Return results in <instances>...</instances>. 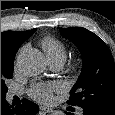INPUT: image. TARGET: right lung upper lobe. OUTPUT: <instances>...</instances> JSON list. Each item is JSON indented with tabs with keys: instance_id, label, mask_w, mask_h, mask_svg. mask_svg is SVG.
Masks as SVG:
<instances>
[{
	"instance_id": "cb5924a9",
	"label": "right lung upper lobe",
	"mask_w": 115,
	"mask_h": 115,
	"mask_svg": "<svg viewBox=\"0 0 115 115\" xmlns=\"http://www.w3.org/2000/svg\"><path fill=\"white\" fill-rule=\"evenodd\" d=\"M36 29L28 31H5L1 33V68H13L18 48Z\"/></svg>"
}]
</instances>
